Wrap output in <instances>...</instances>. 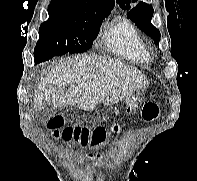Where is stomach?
I'll use <instances>...</instances> for the list:
<instances>
[{"mask_svg": "<svg viewBox=\"0 0 197 181\" xmlns=\"http://www.w3.org/2000/svg\"><path fill=\"white\" fill-rule=\"evenodd\" d=\"M137 97L135 98V97H132V98H126L125 99V102H126V105H127V107H129V108H135L136 106H137Z\"/></svg>", "mask_w": 197, "mask_h": 181, "instance_id": "1", "label": "stomach"}]
</instances>
